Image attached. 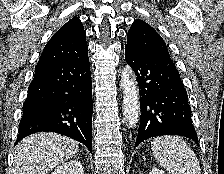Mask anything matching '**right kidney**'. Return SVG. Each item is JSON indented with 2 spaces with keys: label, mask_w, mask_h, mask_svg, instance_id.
<instances>
[{
  "label": "right kidney",
  "mask_w": 224,
  "mask_h": 174,
  "mask_svg": "<svg viewBox=\"0 0 224 174\" xmlns=\"http://www.w3.org/2000/svg\"><path fill=\"white\" fill-rule=\"evenodd\" d=\"M51 174H84V171L80 161L75 159L58 166Z\"/></svg>",
  "instance_id": "1"
}]
</instances>
